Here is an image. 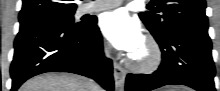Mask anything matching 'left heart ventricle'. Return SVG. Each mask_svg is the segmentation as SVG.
Wrapping results in <instances>:
<instances>
[{"label":"left heart ventricle","mask_w":220,"mask_h":91,"mask_svg":"<svg viewBox=\"0 0 220 91\" xmlns=\"http://www.w3.org/2000/svg\"><path fill=\"white\" fill-rule=\"evenodd\" d=\"M147 55V48L144 43L142 46L133 54V57L139 61L143 60Z\"/></svg>","instance_id":"obj_1"}]
</instances>
